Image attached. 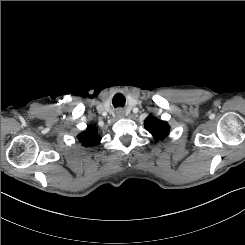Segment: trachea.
Returning a JSON list of instances; mask_svg holds the SVG:
<instances>
[{"label": "trachea", "mask_w": 245, "mask_h": 245, "mask_svg": "<svg viewBox=\"0 0 245 245\" xmlns=\"http://www.w3.org/2000/svg\"><path fill=\"white\" fill-rule=\"evenodd\" d=\"M125 102L126 99L122 94H116L112 101L114 107H123Z\"/></svg>", "instance_id": "3493384b"}]
</instances>
